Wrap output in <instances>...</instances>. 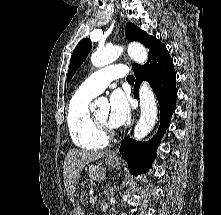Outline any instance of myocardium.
<instances>
[{"mask_svg": "<svg viewBox=\"0 0 221 215\" xmlns=\"http://www.w3.org/2000/svg\"><path fill=\"white\" fill-rule=\"evenodd\" d=\"M93 119L104 136L107 137L112 136L114 134L113 130L110 128L108 123L101 121L96 115H93Z\"/></svg>", "mask_w": 221, "mask_h": 215, "instance_id": "1", "label": "myocardium"}]
</instances>
